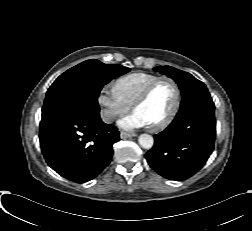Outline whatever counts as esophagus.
Wrapping results in <instances>:
<instances>
[{
    "label": "esophagus",
    "mask_w": 252,
    "mask_h": 231,
    "mask_svg": "<svg viewBox=\"0 0 252 231\" xmlns=\"http://www.w3.org/2000/svg\"><path fill=\"white\" fill-rule=\"evenodd\" d=\"M133 136H136V134L127 133V132H124V131H122V132L120 133V138H121V139H126V138H130V137H133Z\"/></svg>",
    "instance_id": "1"
}]
</instances>
